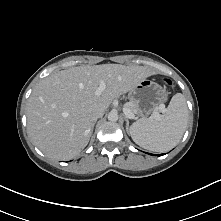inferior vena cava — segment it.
I'll use <instances>...</instances> for the list:
<instances>
[{
    "instance_id": "602c4592",
    "label": "inferior vena cava",
    "mask_w": 221,
    "mask_h": 221,
    "mask_svg": "<svg viewBox=\"0 0 221 221\" xmlns=\"http://www.w3.org/2000/svg\"><path fill=\"white\" fill-rule=\"evenodd\" d=\"M103 115H104V111L102 109H99L93 113L92 120L96 121L98 118H101Z\"/></svg>"
}]
</instances>
